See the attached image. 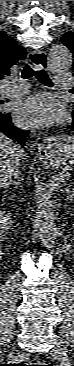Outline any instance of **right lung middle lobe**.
Wrapping results in <instances>:
<instances>
[{
  "label": "right lung middle lobe",
  "instance_id": "dd1d6c3e",
  "mask_svg": "<svg viewBox=\"0 0 74 366\" xmlns=\"http://www.w3.org/2000/svg\"><path fill=\"white\" fill-rule=\"evenodd\" d=\"M2 103H3V101H1V100H0V104H2ZM0 113H1V112H0Z\"/></svg>",
  "mask_w": 74,
  "mask_h": 366
}]
</instances>
